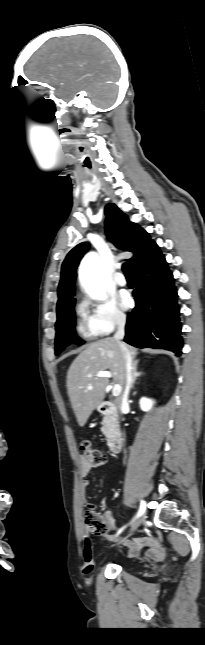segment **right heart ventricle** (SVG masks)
Wrapping results in <instances>:
<instances>
[{
    "label": "right heart ventricle",
    "mask_w": 205,
    "mask_h": 645,
    "mask_svg": "<svg viewBox=\"0 0 205 645\" xmlns=\"http://www.w3.org/2000/svg\"><path fill=\"white\" fill-rule=\"evenodd\" d=\"M80 320H79V330L82 333L83 336L85 337H92V335L88 328H87V323H86V318L85 315L80 311Z\"/></svg>",
    "instance_id": "obj_1"
}]
</instances>
